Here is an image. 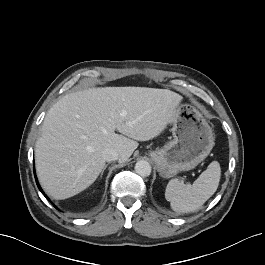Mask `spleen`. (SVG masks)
<instances>
[{"mask_svg": "<svg viewBox=\"0 0 265 265\" xmlns=\"http://www.w3.org/2000/svg\"><path fill=\"white\" fill-rule=\"evenodd\" d=\"M220 176V165L213 161L192 185L171 179L165 190V198L176 212H194L216 192Z\"/></svg>", "mask_w": 265, "mask_h": 265, "instance_id": "spleen-1", "label": "spleen"}]
</instances>
